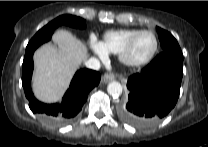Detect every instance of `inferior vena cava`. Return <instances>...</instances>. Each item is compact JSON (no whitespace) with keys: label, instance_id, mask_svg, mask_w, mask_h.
Segmentation results:
<instances>
[{"label":"inferior vena cava","instance_id":"1","mask_svg":"<svg viewBox=\"0 0 208 147\" xmlns=\"http://www.w3.org/2000/svg\"><path fill=\"white\" fill-rule=\"evenodd\" d=\"M85 65H86V67L93 69V70L100 69V61L95 57H91L88 60H86Z\"/></svg>","mask_w":208,"mask_h":147}]
</instances>
